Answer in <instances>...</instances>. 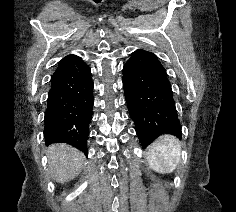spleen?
Wrapping results in <instances>:
<instances>
[{"instance_id":"spleen-1","label":"spleen","mask_w":236,"mask_h":212,"mask_svg":"<svg viewBox=\"0 0 236 212\" xmlns=\"http://www.w3.org/2000/svg\"><path fill=\"white\" fill-rule=\"evenodd\" d=\"M181 160V146L171 135L160 136L148 149L149 166L159 173L173 172Z\"/></svg>"}]
</instances>
